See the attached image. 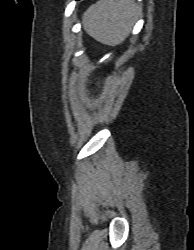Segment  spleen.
<instances>
[{
    "mask_svg": "<svg viewBox=\"0 0 194 250\" xmlns=\"http://www.w3.org/2000/svg\"><path fill=\"white\" fill-rule=\"evenodd\" d=\"M139 12L131 0H100L83 14V25L98 42L115 46L129 35Z\"/></svg>",
    "mask_w": 194,
    "mask_h": 250,
    "instance_id": "obj_1",
    "label": "spleen"
}]
</instances>
